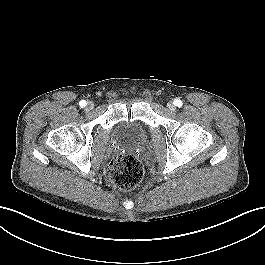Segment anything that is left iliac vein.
<instances>
[{
	"instance_id": "1",
	"label": "left iliac vein",
	"mask_w": 265,
	"mask_h": 265,
	"mask_svg": "<svg viewBox=\"0 0 265 265\" xmlns=\"http://www.w3.org/2000/svg\"><path fill=\"white\" fill-rule=\"evenodd\" d=\"M168 108H169L171 111H175V109H176L173 103H169V104H168Z\"/></svg>"
}]
</instances>
